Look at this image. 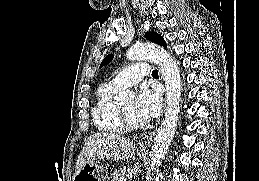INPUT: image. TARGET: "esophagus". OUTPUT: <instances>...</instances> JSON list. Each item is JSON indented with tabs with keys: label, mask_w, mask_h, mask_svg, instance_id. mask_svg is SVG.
<instances>
[{
	"label": "esophagus",
	"mask_w": 259,
	"mask_h": 181,
	"mask_svg": "<svg viewBox=\"0 0 259 181\" xmlns=\"http://www.w3.org/2000/svg\"><path fill=\"white\" fill-rule=\"evenodd\" d=\"M155 132L151 133L146 139L145 141H143L140 145H139V149L140 150H147L150 145L152 144L153 138H154Z\"/></svg>",
	"instance_id": "obj_1"
}]
</instances>
